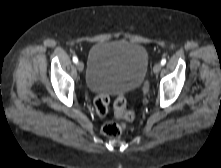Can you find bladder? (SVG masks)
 Wrapping results in <instances>:
<instances>
[{
	"label": "bladder",
	"mask_w": 221,
	"mask_h": 168,
	"mask_svg": "<svg viewBox=\"0 0 221 168\" xmlns=\"http://www.w3.org/2000/svg\"><path fill=\"white\" fill-rule=\"evenodd\" d=\"M148 64L147 50L140 44L123 40L96 43L89 51L87 87L108 94L133 91L143 83Z\"/></svg>",
	"instance_id": "1"
}]
</instances>
